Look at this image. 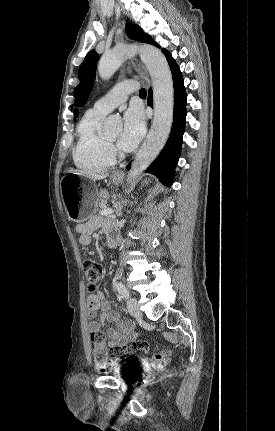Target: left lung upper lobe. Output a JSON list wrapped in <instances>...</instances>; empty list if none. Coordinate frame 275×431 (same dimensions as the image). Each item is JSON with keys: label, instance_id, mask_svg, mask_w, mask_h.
<instances>
[{"label": "left lung upper lobe", "instance_id": "5c2ea615", "mask_svg": "<svg viewBox=\"0 0 275 431\" xmlns=\"http://www.w3.org/2000/svg\"><path fill=\"white\" fill-rule=\"evenodd\" d=\"M128 35L139 42H145L149 44L156 45L153 39L146 34L138 25H131L129 23L126 24ZM166 51L162 49V52ZM99 59V55L94 51H90L83 63L79 67L78 75L80 79L79 85L75 89L74 97H75V106H83L87 100L88 95L91 92L93 87L96 65Z\"/></svg>", "mask_w": 275, "mask_h": 431}]
</instances>
